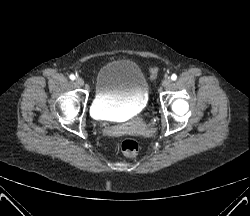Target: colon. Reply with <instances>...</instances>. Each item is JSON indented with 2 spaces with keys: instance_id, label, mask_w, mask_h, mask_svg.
Returning a JSON list of instances; mask_svg holds the SVG:
<instances>
[{
  "instance_id": "5ec220e1",
  "label": "colon",
  "mask_w": 250,
  "mask_h": 216,
  "mask_svg": "<svg viewBox=\"0 0 250 216\" xmlns=\"http://www.w3.org/2000/svg\"><path fill=\"white\" fill-rule=\"evenodd\" d=\"M158 68L153 67L150 69V76L154 79L157 76ZM139 151V146L136 141L131 139L124 140L120 145V153L126 157H134Z\"/></svg>"
}]
</instances>
